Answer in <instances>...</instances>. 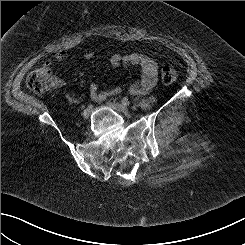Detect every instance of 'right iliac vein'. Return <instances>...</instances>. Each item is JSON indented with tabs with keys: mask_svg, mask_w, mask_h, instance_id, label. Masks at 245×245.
<instances>
[{
	"mask_svg": "<svg viewBox=\"0 0 245 245\" xmlns=\"http://www.w3.org/2000/svg\"><path fill=\"white\" fill-rule=\"evenodd\" d=\"M82 115H83V118L84 119H89V117H90V115H91V109H85L84 111H83V113H82Z\"/></svg>",
	"mask_w": 245,
	"mask_h": 245,
	"instance_id": "obj_1",
	"label": "right iliac vein"
}]
</instances>
